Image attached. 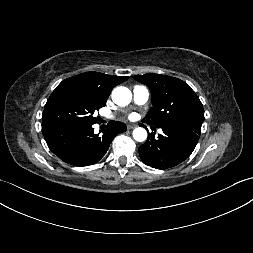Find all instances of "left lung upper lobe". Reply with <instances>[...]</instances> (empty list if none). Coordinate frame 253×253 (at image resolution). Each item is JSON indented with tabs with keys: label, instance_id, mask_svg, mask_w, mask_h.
I'll return each mask as SVG.
<instances>
[{
	"label": "left lung upper lobe",
	"instance_id": "1",
	"mask_svg": "<svg viewBox=\"0 0 253 253\" xmlns=\"http://www.w3.org/2000/svg\"><path fill=\"white\" fill-rule=\"evenodd\" d=\"M133 78L147 85L152 94L153 107L144 122L158 128L202 125V103L184 81L160 74L136 75Z\"/></svg>",
	"mask_w": 253,
	"mask_h": 253
}]
</instances>
